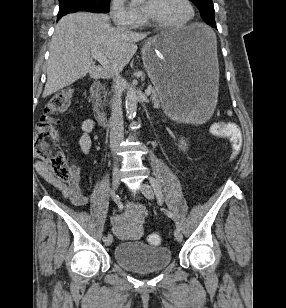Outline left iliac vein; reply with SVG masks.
<instances>
[{"mask_svg": "<svg viewBox=\"0 0 286 308\" xmlns=\"http://www.w3.org/2000/svg\"><path fill=\"white\" fill-rule=\"evenodd\" d=\"M140 191L144 194V196L150 200L154 199V192L152 187L146 183V182H142L141 186H140ZM174 237L176 239V241L181 242L183 239V235L181 233V230L176 228L174 231Z\"/></svg>", "mask_w": 286, "mask_h": 308, "instance_id": "obj_1", "label": "left iliac vein"}]
</instances>
